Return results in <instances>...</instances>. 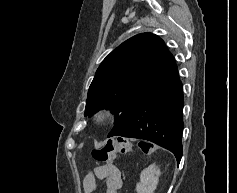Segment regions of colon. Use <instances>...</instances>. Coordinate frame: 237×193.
<instances>
[{
    "label": "colon",
    "instance_id": "obj_1",
    "mask_svg": "<svg viewBox=\"0 0 237 193\" xmlns=\"http://www.w3.org/2000/svg\"><path fill=\"white\" fill-rule=\"evenodd\" d=\"M138 147L145 153H151L152 147L146 142H139ZM132 149L130 140L119 137L115 140L107 142L100 148L92 151L93 158L105 165H112L118 154H126Z\"/></svg>",
    "mask_w": 237,
    "mask_h": 193
}]
</instances>
